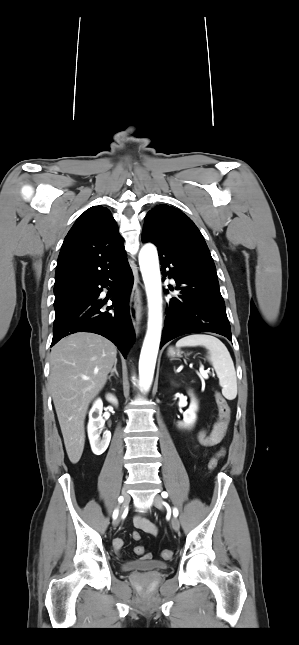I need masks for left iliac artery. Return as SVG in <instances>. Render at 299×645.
Wrapping results in <instances>:
<instances>
[{"instance_id": "obj_1", "label": "left iliac artery", "mask_w": 299, "mask_h": 645, "mask_svg": "<svg viewBox=\"0 0 299 645\" xmlns=\"http://www.w3.org/2000/svg\"><path fill=\"white\" fill-rule=\"evenodd\" d=\"M161 495H162V497H163V498H167V497H168V493H167V492H162V494H161ZM173 515H174V516H176V517L178 516V510H177V508H174V509H173Z\"/></svg>"}]
</instances>
